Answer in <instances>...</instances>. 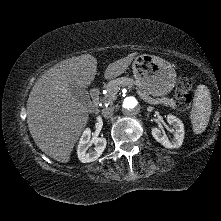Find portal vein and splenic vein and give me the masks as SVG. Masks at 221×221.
<instances>
[{
	"label": "portal vein and splenic vein",
	"mask_w": 221,
	"mask_h": 221,
	"mask_svg": "<svg viewBox=\"0 0 221 221\" xmlns=\"http://www.w3.org/2000/svg\"><path fill=\"white\" fill-rule=\"evenodd\" d=\"M140 96H142V98H143L144 100H146V101H147L148 103H150V104H158V103H159V102L156 101L155 99L146 97V96H144V95H140Z\"/></svg>",
	"instance_id": "18ae733b"
}]
</instances>
